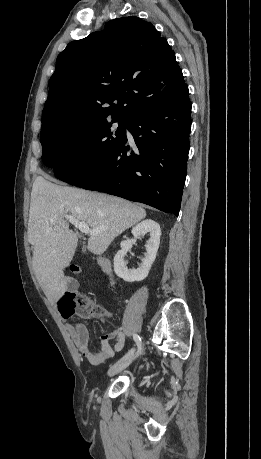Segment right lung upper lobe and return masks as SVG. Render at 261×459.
Returning a JSON list of instances; mask_svg holds the SVG:
<instances>
[{
	"label": "right lung upper lobe",
	"instance_id": "right-lung-upper-lobe-1",
	"mask_svg": "<svg viewBox=\"0 0 261 459\" xmlns=\"http://www.w3.org/2000/svg\"><path fill=\"white\" fill-rule=\"evenodd\" d=\"M175 54L151 23L135 16L70 42L56 61L41 133L134 115L173 98L185 86Z\"/></svg>",
	"mask_w": 261,
	"mask_h": 459
}]
</instances>
